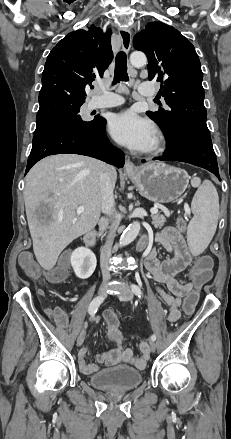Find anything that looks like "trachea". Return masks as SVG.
<instances>
[{
    "instance_id": "obj_1",
    "label": "trachea",
    "mask_w": 231,
    "mask_h": 439,
    "mask_svg": "<svg viewBox=\"0 0 231 439\" xmlns=\"http://www.w3.org/2000/svg\"><path fill=\"white\" fill-rule=\"evenodd\" d=\"M120 81H128L127 56L123 51H120L116 55L113 84L119 83Z\"/></svg>"
}]
</instances>
